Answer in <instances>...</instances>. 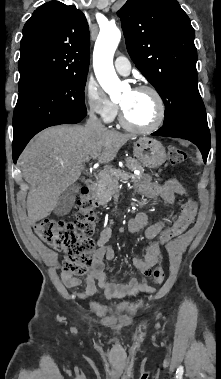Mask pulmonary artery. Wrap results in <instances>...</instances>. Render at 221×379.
<instances>
[{
    "label": "pulmonary artery",
    "mask_w": 221,
    "mask_h": 379,
    "mask_svg": "<svg viewBox=\"0 0 221 379\" xmlns=\"http://www.w3.org/2000/svg\"><path fill=\"white\" fill-rule=\"evenodd\" d=\"M115 69L121 75H129L131 71L130 61L125 56H119L115 60Z\"/></svg>",
    "instance_id": "e3ab8cb5"
}]
</instances>
